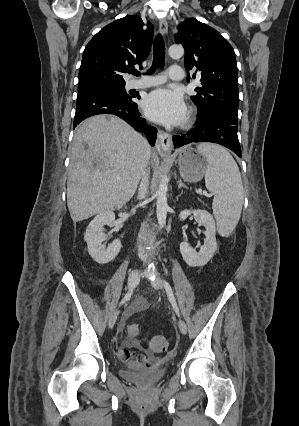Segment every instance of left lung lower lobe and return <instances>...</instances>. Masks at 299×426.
Returning <instances> with one entry per match:
<instances>
[{"label": "left lung lower lobe", "mask_w": 299, "mask_h": 426, "mask_svg": "<svg viewBox=\"0 0 299 426\" xmlns=\"http://www.w3.org/2000/svg\"><path fill=\"white\" fill-rule=\"evenodd\" d=\"M196 127L186 135L173 136L175 148L192 142H213L221 144L239 157L242 156L237 136V118L223 111L198 114Z\"/></svg>", "instance_id": "1"}]
</instances>
